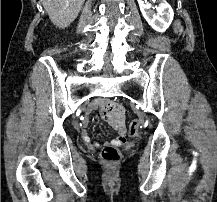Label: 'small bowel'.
Instances as JSON below:
<instances>
[{
  "instance_id": "obj_1",
  "label": "small bowel",
  "mask_w": 217,
  "mask_h": 202,
  "mask_svg": "<svg viewBox=\"0 0 217 202\" xmlns=\"http://www.w3.org/2000/svg\"><path fill=\"white\" fill-rule=\"evenodd\" d=\"M98 105L100 106L102 113H107V121H109V126H112L117 134L115 138L106 142V145H123L126 142V128L123 117L124 111L121 114L123 105L117 104L116 101H95L87 108L86 116H89L92 112H94ZM81 137L93 149H98L101 147V143L98 141H92L86 131L81 132Z\"/></svg>"
}]
</instances>
